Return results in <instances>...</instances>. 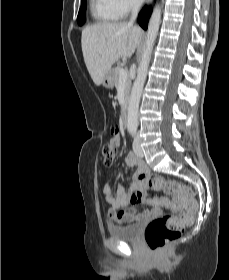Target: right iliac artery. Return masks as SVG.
I'll use <instances>...</instances> for the list:
<instances>
[{"instance_id":"right-iliac-artery-1","label":"right iliac artery","mask_w":229,"mask_h":280,"mask_svg":"<svg viewBox=\"0 0 229 280\" xmlns=\"http://www.w3.org/2000/svg\"><path fill=\"white\" fill-rule=\"evenodd\" d=\"M130 133H133V131H132V130H130Z\"/></svg>"}]
</instances>
